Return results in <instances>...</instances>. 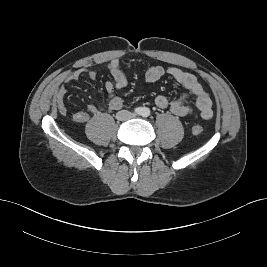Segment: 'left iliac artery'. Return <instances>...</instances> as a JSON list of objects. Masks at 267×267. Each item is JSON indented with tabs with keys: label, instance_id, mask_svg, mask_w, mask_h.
<instances>
[{
	"label": "left iliac artery",
	"instance_id": "obj_1",
	"mask_svg": "<svg viewBox=\"0 0 267 267\" xmlns=\"http://www.w3.org/2000/svg\"><path fill=\"white\" fill-rule=\"evenodd\" d=\"M143 115H144V116L149 115L148 111H144Z\"/></svg>",
	"mask_w": 267,
	"mask_h": 267
}]
</instances>
